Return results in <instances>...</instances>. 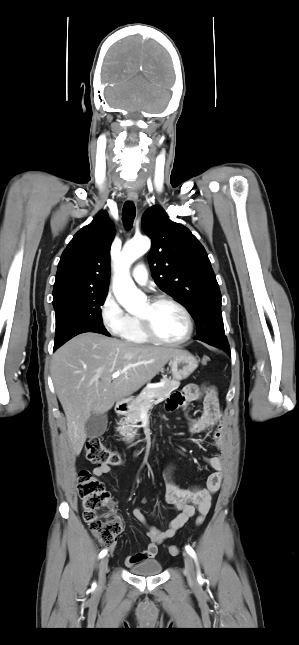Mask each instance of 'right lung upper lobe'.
<instances>
[{
  "label": "right lung upper lobe",
  "instance_id": "obj_1",
  "mask_svg": "<svg viewBox=\"0 0 299 645\" xmlns=\"http://www.w3.org/2000/svg\"><path fill=\"white\" fill-rule=\"evenodd\" d=\"M114 234L106 211L75 234L58 264L53 302L68 293L108 291Z\"/></svg>",
  "mask_w": 299,
  "mask_h": 645
}]
</instances>
